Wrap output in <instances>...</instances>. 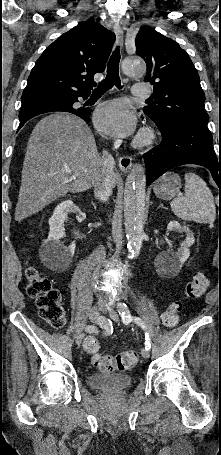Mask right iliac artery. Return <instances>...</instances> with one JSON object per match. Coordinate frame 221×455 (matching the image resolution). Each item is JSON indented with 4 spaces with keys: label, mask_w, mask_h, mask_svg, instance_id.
Returning a JSON list of instances; mask_svg holds the SVG:
<instances>
[{
    "label": "right iliac artery",
    "mask_w": 221,
    "mask_h": 455,
    "mask_svg": "<svg viewBox=\"0 0 221 455\" xmlns=\"http://www.w3.org/2000/svg\"><path fill=\"white\" fill-rule=\"evenodd\" d=\"M100 325H101V330H102V332L106 333V337H111L112 326H111L110 324H108L107 321L100 323ZM85 331H86V332H90V334H97V333H98V330L95 329V326H93V325H88V326L85 328ZM102 332L99 331V333H98V336H99V337H102V336H103V333H102Z\"/></svg>",
    "instance_id": "right-iliac-artery-1"
}]
</instances>
